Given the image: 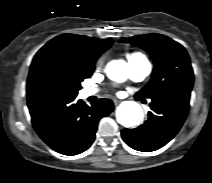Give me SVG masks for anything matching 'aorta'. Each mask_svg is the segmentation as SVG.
Returning <instances> with one entry per match:
<instances>
[{
  "label": "aorta",
  "mask_w": 212,
  "mask_h": 183,
  "mask_svg": "<svg viewBox=\"0 0 212 183\" xmlns=\"http://www.w3.org/2000/svg\"><path fill=\"white\" fill-rule=\"evenodd\" d=\"M106 74L112 80L121 81L126 77L127 64L122 60H113L107 64ZM116 117L121 125L133 127L143 120V111L138 103L126 101L118 107Z\"/></svg>",
  "instance_id": "1"
}]
</instances>
